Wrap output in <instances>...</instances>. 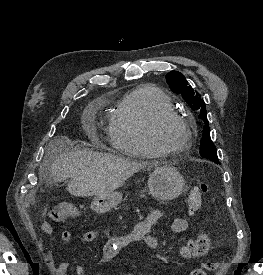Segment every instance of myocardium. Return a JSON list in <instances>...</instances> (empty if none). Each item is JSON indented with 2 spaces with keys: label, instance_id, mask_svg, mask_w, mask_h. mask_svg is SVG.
Instances as JSON below:
<instances>
[{
  "label": "myocardium",
  "instance_id": "myocardium-1",
  "mask_svg": "<svg viewBox=\"0 0 263 275\" xmlns=\"http://www.w3.org/2000/svg\"><path fill=\"white\" fill-rule=\"evenodd\" d=\"M170 120H176L183 124L186 129V138L184 142L175 148H166L160 144L157 138V132L161 125ZM146 136L148 143L157 155L171 156L186 151L194 137V124L190 117L176 112L175 110H164L156 114L148 124Z\"/></svg>",
  "mask_w": 263,
  "mask_h": 275
}]
</instances>
